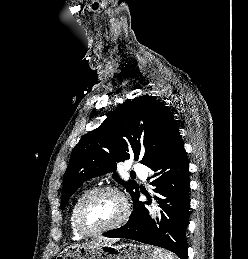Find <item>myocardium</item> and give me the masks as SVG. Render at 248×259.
Instances as JSON below:
<instances>
[{
    "instance_id": "1",
    "label": "myocardium",
    "mask_w": 248,
    "mask_h": 259,
    "mask_svg": "<svg viewBox=\"0 0 248 259\" xmlns=\"http://www.w3.org/2000/svg\"><path fill=\"white\" fill-rule=\"evenodd\" d=\"M104 193H112L115 194L122 202L123 206V212L121 216L113 223L106 225L104 227L98 228V229H91L89 228L83 219V213L84 209L87 206V204L96 196ZM130 215V206L129 203L125 197V195L116 187L113 186H102L97 187L89 192H87L83 198L80 200V202L77 205L76 211H75V224L78 228V230L85 236H96L100 235L102 233L114 230L116 228H119L122 226L129 218Z\"/></svg>"
}]
</instances>
